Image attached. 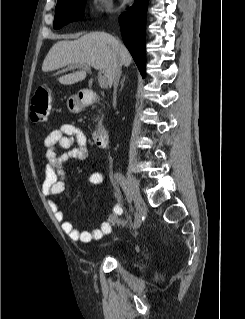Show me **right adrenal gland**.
Wrapping results in <instances>:
<instances>
[{
  "label": "right adrenal gland",
  "mask_w": 245,
  "mask_h": 319,
  "mask_svg": "<svg viewBox=\"0 0 245 319\" xmlns=\"http://www.w3.org/2000/svg\"><path fill=\"white\" fill-rule=\"evenodd\" d=\"M126 80V76L123 77V79L120 82V91H122L123 87H124V82Z\"/></svg>",
  "instance_id": "right-adrenal-gland-1"
}]
</instances>
